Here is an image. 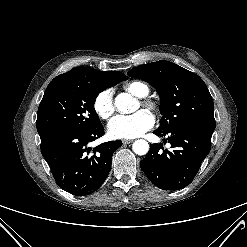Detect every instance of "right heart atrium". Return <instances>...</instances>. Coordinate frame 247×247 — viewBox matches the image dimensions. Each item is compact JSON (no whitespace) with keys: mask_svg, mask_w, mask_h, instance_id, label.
<instances>
[{"mask_svg":"<svg viewBox=\"0 0 247 247\" xmlns=\"http://www.w3.org/2000/svg\"><path fill=\"white\" fill-rule=\"evenodd\" d=\"M93 109L102 120L111 118L115 111L113 90L111 88L103 89L95 96Z\"/></svg>","mask_w":247,"mask_h":247,"instance_id":"obj_1","label":"right heart atrium"}]
</instances>
